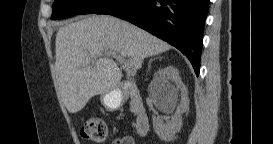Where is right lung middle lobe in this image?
Listing matches in <instances>:
<instances>
[{"label":"right lung middle lobe","instance_id":"1","mask_svg":"<svg viewBox=\"0 0 273 144\" xmlns=\"http://www.w3.org/2000/svg\"><path fill=\"white\" fill-rule=\"evenodd\" d=\"M109 0H55L51 19L70 17L77 14H92Z\"/></svg>","mask_w":273,"mask_h":144}]
</instances>
